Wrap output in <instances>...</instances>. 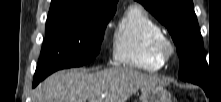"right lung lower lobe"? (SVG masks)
Segmentation results:
<instances>
[{
	"mask_svg": "<svg viewBox=\"0 0 221 102\" xmlns=\"http://www.w3.org/2000/svg\"><path fill=\"white\" fill-rule=\"evenodd\" d=\"M41 80L39 79H34L33 81V87H35Z\"/></svg>",
	"mask_w": 221,
	"mask_h": 102,
	"instance_id": "98d812e1",
	"label": "right lung lower lobe"
}]
</instances>
